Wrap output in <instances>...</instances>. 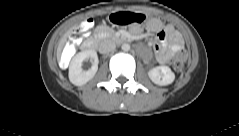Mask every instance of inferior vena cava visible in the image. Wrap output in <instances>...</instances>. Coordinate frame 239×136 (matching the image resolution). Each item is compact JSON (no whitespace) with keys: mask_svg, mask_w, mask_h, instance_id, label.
I'll return each mask as SVG.
<instances>
[{"mask_svg":"<svg viewBox=\"0 0 239 136\" xmlns=\"http://www.w3.org/2000/svg\"><path fill=\"white\" fill-rule=\"evenodd\" d=\"M115 48H116L115 43L110 39H106L100 42L98 50L100 53L106 54L114 51Z\"/></svg>","mask_w":239,"mask_h":136,"instance_id":"1","label":"inferior vena cava"}]
</instances>
